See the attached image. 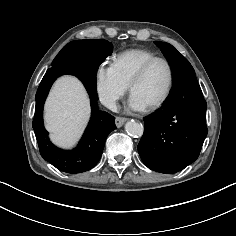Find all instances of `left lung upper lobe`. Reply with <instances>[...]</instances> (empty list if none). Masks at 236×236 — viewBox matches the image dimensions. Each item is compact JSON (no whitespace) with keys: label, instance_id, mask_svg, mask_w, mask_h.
Returning a JSON list of instances; mask_svg holds the SVG:
<instances>
[{"label":"left lung upper lobe","instance_id":"left-lung-upper-lobe-1","mask_svg":"<svg viewBox=\"0 0 236 236\" xmlns=\"http://www.w3.org/2000/svg\"><path fill=\"white\" fill-rule=\"evenodd\" d=\"M167 58L173 71V84L189 75H195V71L189 61L178 52L172 45L165 42L155 41Z\"/></svg>","mask_w":236,"mask_h":236}]
</instances>
